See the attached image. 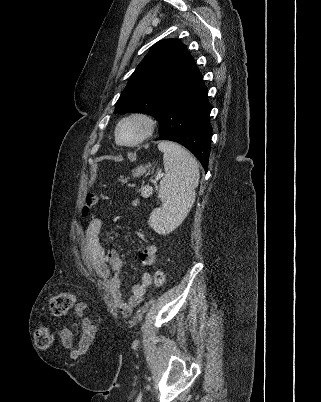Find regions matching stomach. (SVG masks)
Returning <instances> with one entry per match:
<instances>
[{"label": "stomach", "instance_id": "obj_1", "mask_svg": "<svg viewBox=\"0 0 321 402\" xmlns=\"http://www.w3.org/2000/svg\"><path fill=\"white\" fill-rule=\"evenodd\" d=\"M150 165H146V166H139L137 167L135 170L132 171L133 176L134 177H139L141 175H143L144 173H146L147 169H149Z\"/></svg>", "mask_w": 321, "mask_h": 402}]
</instances>
